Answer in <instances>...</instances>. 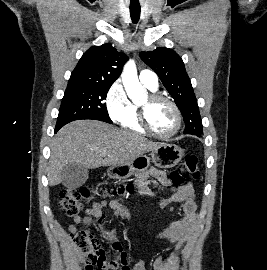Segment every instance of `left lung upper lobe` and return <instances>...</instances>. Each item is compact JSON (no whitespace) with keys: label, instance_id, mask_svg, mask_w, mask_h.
I'll return each instance as SVG.
<instances>
[{"label":"left lung upper lobe","instance_id":"5c2ea615","mask_svg":"<svg viewBox=\"0 0 267 270\" xmlns=\"http://www.w3.org/2000/svg\"><path fill=\"white\" fill-rule=\"evenodd\" d=\"M140 58L159 76L173 97L185 122L184 134H203L197 100L181 57L172 49L140 52Z\"/></svg>","mask_w":267,"mask_h":270}]
</instances>
